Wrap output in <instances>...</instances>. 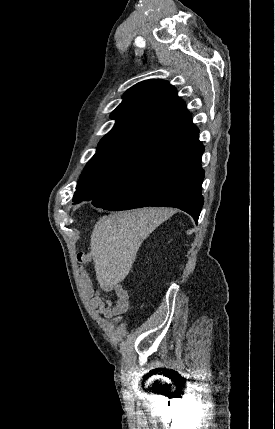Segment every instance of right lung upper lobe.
I'll return each mask as SVG.
<instances>
[{"label": "right lung upper lobe", "mask_w": 275, "mask_h": 429, "mask_svg": "<svg viewBox=\"0 0 275 429\" xmlns=\"http://www.w3.org/2000/svg\"><path fill=\"white\" fill-rule=\"evenodd\" d=\"M111 118L116 123L98 144L97 152L122 149L151 158L199 133L175 87L159 79L127 90Z\"/></svg>", "instance_id": "cb5924a9"}]
</instances>
